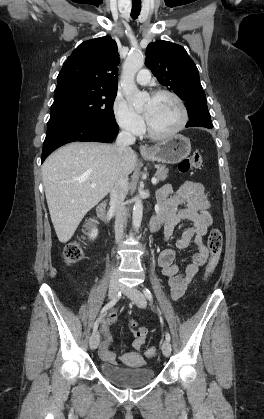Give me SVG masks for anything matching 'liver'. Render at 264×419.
Listing matches in <instances>:
<instances>
[{"label": "liver", "instance_id": "1", "mask_svg": "<svg viewBox=\"0 0 264 419\" xmlns=\"http://www.w3.org/2000/svg\"><path fill=\"white\" fill-rule=\"evenodd\" d=\"M136 161L129 147L119 158L116 145L97 142H72L45 160V195L60 242L71 239L87 212L111 191L120 174L133 172Z\"/></svg>", "mask_w": 264, "mask_h": 419}]
</instances>
